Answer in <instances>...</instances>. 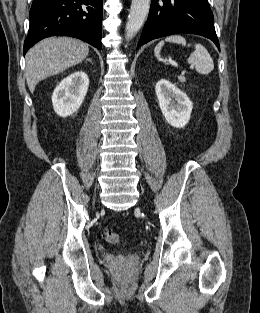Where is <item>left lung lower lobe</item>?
<instances>
[{
    "label": "left lung lower lobe",
    "mask_w": 260,
    "mask_h": 313,
    "mask_svg": "<svg viewBox=\"0 0 260 313\" xmlns=\"http://www.w3.org/2000/svg\"><path fill=\"white\" fill-rule=\"evenodd\" d=\"M175 33L205 36L220 49L213 13L207 0H152L137 48L153 39Z\"/></svg>",
    "instance_id": "left-lung-lower-lobe-1"
}]
</instances>
